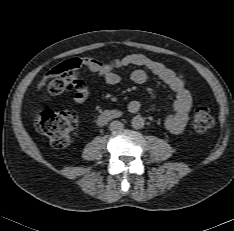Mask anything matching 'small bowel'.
<instances>
[{
    "label": "small bowel",
    "mask_w": 234,
    "mask_h": 231,
    "mask_svg": "<svg viewBox=\"0 0 234 231\" xmlns=\"http://www.w3.org/2000/svg\"><path fill=\"white\" fill-rule=\"evenodd\" d=\"M83 64L111 86L118 85L121 81L120 76L116 73L117 69L128 66L147 68L176 94L175 100L170 104L173 112L166 117L164 122L166 129L174 135H182L185 132L192 108V95L182 74L143 54H129L109 62H101L95 58H85ZM59 69L60 65L55 66L43 77L38 85L39 90L43 89L57 75ZM130 78L134 83L143 84L148 81L149 76L146 71L136 69L131 73ZM73 88L75 91L74 101L84 103L89 97V89L86 83L83 80H76ZM141 109L142 104L139 101L134 100L128 104V110L131 113H137Z\"/></svg>",
    "instance_id": "1"
}]
</instances>
